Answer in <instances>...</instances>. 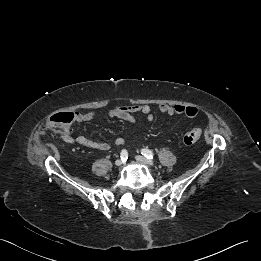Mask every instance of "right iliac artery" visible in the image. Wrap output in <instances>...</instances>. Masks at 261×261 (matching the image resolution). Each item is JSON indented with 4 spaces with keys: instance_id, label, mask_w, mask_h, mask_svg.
Returning <instances> with one entry per match:
<instances>
[{
    "instance_id": "obj_1",
    "label": "right iliac artery",
    "mask_w": 261,
    "mask_h": 261,
    "mask_svg": "<svg viewBox=\"0 0 261 261\" xmlns=\"http://www.w3.org/2000/svg\"><path fill=\"white\" fill-rule=\"evenodd\" d=\"M120 157H121V160H122L123 162H125V161L128 159V152H127V150L123 149V150L121 151Z\"/></svg>"
}]
</instances>
